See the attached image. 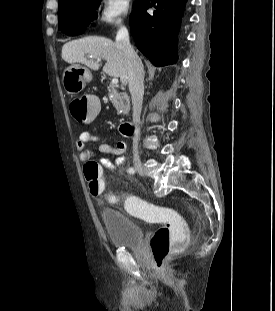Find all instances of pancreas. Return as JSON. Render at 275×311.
I'll return each instance as SVG.
<instances>
[{"label": "pancreas", "instance_id": "cf45deb5", "mask_svg": "<svg viewBox=\"0 0 275 311\" xmlns=\"http://www.w3.org/2000/svg\"><path fill=\"white\" fill-rule=\"evenodd\" d=\"M108 96L118 113L122 115L128 114L130 110V101L126 93L118 92L115 85L111 84L108 88Z\"/></svg>", "mask_w": 275, "mask_h": 311}]
</instances>
